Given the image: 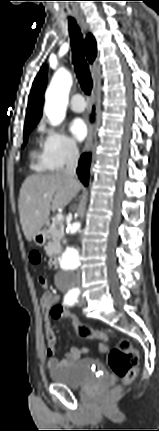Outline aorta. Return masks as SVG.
Listing matches in <instances>:
<instances>
[{"label":"aorta","instance_id":"aorta-1","mask_svg":"<svg viewBox=\"0 0 159 431\" xmlns=\"http://www.w3.org/2000/svg\"><path fill=\"white\" fill-rule=\"evenodd\" d=\"M72 85L71 74L66 69H59L54 74L50 86L46 91L45 112L52 125H58L65 117L68 94ZM80 222L68 226L65 232V248L60 257V266L66 273L77 270L81 265V256L77 248L70 245L69 239L79 234ZM70 280L71 275L66 276Z\"/></svg>","mask_w":159,"mask_h":431}]
</instances>
